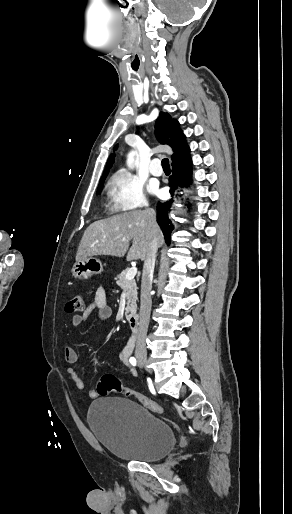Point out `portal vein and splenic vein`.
<instances>
[{"label": "portal vein and splenic vein", "instance_id": "1", "mask_svg": "<svg viewBox=\"0 0 292 514\" xmlns=\"http://www.w3.org/2000/svg\"><path fill=\"white\" fill-rule=\"evenodd\" d=\"M137 274V268H135V266H133V268H129L127 274H126V278L127 280H133L134 276H136Z\"/></svg>", "mask_w": 292, "mask_h": 514}]
</instances>
